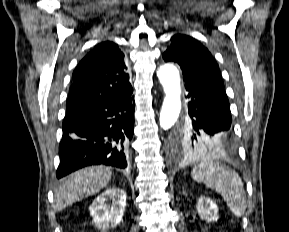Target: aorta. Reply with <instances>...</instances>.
Instances as JSON below:
<instances>
[{
    "label": "aorta",
    "instance_id": "762f6f07",
    "mask_svg": "<svg viewBox=\"0 0 289 232\" xmlns=\"http://www.w3.org/2000/svg\"><path fill=\"white\" fill-rule=\"evenodd\" d=\"M157 76L165 93L159 123L161 128L167 130L177 122L181 112L180 75L174 65L166 64L160 67Z\"/></svg>",
    "mask_w": 289,
    "mask_h": 232
}]
</instances>
